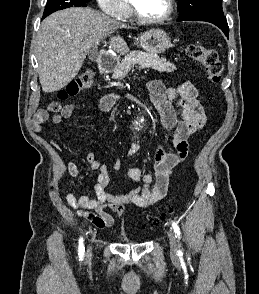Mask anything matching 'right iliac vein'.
Wrapping results in <instances>:
<instances>
[{
	"mask_svg": "<svg viewBox=\"0 0 259 294\" xmlns=\"http://www.w3.org/2000/svg\"><path fill=\"white\" fill-rule=\"evenodd\" d=\"M91 254H92V251H91V247L89 246L88 249H87V253H86L87 259H90Z\"/></svg>",
	"mask_w": 259,
	"mask_h": 294,
	"instance_id": "obj_1",
	"label": "right iliac vein"
}]
</instances>
